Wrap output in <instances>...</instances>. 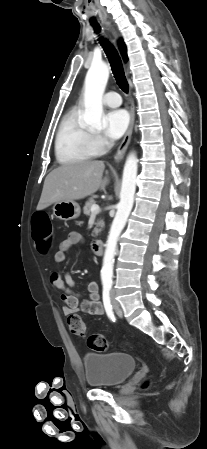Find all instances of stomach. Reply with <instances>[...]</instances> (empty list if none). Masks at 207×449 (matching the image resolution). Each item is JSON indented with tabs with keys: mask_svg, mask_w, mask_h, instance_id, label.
I'll list each match as a JSON object with an SVG mask.
<instances>
[{
	"mask_svg": "<svg viewBox=\"0 0 207 449\" xmlns=\"http://www.w3.org/2000/svg\"><path fill=\"white\" fill-rule=\"evenodd\" d=\"M81 209L75 201L56 202L53 206V215L60 220L76 219L80 216Z\"/></svg>",
	"mask_w": 207,
	"mask_h": 449,
	"instance_id": "0dacf381",
	"label": "stomach"
}]
</instances>
